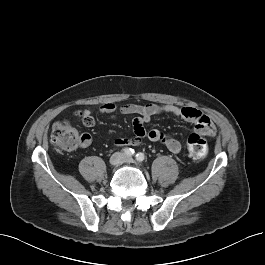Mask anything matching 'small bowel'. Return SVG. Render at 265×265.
I'll return each instance as SVG.
<instances>
[{
    "label": "small bowel",
    "mask_w": 265,
    "mask_h": 265,
    "mask_svg": "<svg viewBox=\"0 0 265 265\" xmlns=\"http://www.w3.org/2000/svg\"><path fill=\"white\" fill-rule=\"evenodd\" d=\"M124 115H138L132 121L135 135L131 138L117 137L113 140L116 146H138L147 138L153 142H160L172 153L177 154L181 151V143L172 136L165 134L158 129L146 130L145 124L150 122L153 116L159 114H170L182 118L196 125L198 133L212 137L216 134V128L211 119L200 110L193 107H178L170 104L158 105L154 103L139 105L125 104L119 108L114 103H105L100 106L102 113L113 115L116 111ZM83 125L90 127L95 124V120L90 109H84L77 113ZM91 143L89 134L82 135V146L87 147Z\"/></svg>",
    "instance_id": "small-bowel-1"
}]
</instances>
